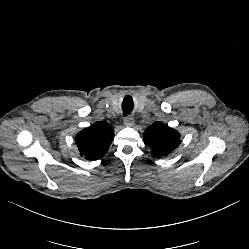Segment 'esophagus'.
Instances as JSON below:
<instances>
[{
    "instance_id": "34e87169",
    "label": "esophagus",
    "mask_w": 249,
    "mask_h": 249,
    "mask_svg": "<svg viewBox=\"0 0 249 249\" xmlns=\"http://www.w3.org/2000/svg\"><path fill=\"white\" fill-rule=\"evenodd\" d=\"M124 124L127 127H133L134 126V118L133 117L124 118Z\"/></svg>"
}]
</instances>
